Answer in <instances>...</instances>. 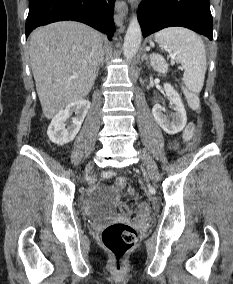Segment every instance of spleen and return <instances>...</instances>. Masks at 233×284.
I'll use <instances>...</instances> for the list:
<instances>
[{"label": "spleen", "mask_w": 233, "mask_h": 284, "mask_svg": "<svg viewBox=\"0 0 233 284\" xmlns=\"http://www.w3.org/2000/svg\"><path fill=\"white\" fill-rule=\"evenodd\" d=\"M160 47L169 51L181 63L183 82L187 89L199 93L206 73V51L202 39L193 31L182 27L163 29L154 35ZM154 55L150 57L151 63Z\"/></svg>", "instance_id": "1"}]
</instances>
